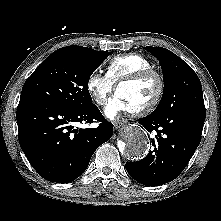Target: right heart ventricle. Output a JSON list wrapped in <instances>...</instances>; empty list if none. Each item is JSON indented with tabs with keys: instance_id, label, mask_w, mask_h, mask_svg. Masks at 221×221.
Listing matches in <instances>:
<instances>
[{
	"instance_id": "obj_1",
	"label": "right heart ventricle",
	"mask_w": 221,
	"mask_h": 221,
	"mask_svg": "<svg viewBox=\"0 0 221 221\" xmlns=\"http://www.w3.org/2000/svg\"><path fill=\"white\" fill-rule=\"evenodd\" d=\"M148 69H153L148 58L138 53H127L115 56L109 61L106 75L116 84L127 76Z\"/></svg>"
}]
</instances>
